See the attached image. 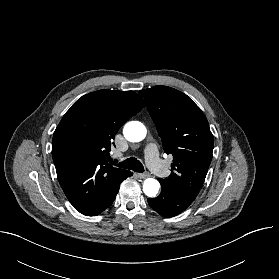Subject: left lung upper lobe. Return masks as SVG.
Returning a JSON list of instances; mask_svg holds the SVG:
<instances>
[{
	"mask_svg": "<svg viewBox=\"0 0 279 279\" xmlns=\"http://www.w3.org/2000/svg\"><path fill=\"white\" fill-rule=\"evenodd\" d=\"M145 99L163 149L173 155L171 188L198 195L212 160L213 135L201 109L186 94L166 86L139 91Z\"/></svg>",
	"mask_w": 279,
	"mask_h": 279,
	"instance_id": "1",
	"label": "left lung upper lobe"
}]
</instances>
